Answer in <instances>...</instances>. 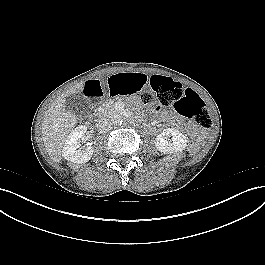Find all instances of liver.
Segmentation results:
<instances>
[{"label": "liver", "instance_id": "1", "mask_svg": "<svg viewBox=\"0 0 265 265\" xmlns=\"http://www.w3.org/2000/svg\"><path fill=\"white\" fill-rule=\"evenodd\" d=\"M84 87L81 82L60 95L46 111L42 122L44 145L53 161L59 163L62 159V148L65 140L73 131L77 117L66 110V97L80 92Z\"/></svg>", "mask_w": 265, "mask_h": 265}]
</instances>
